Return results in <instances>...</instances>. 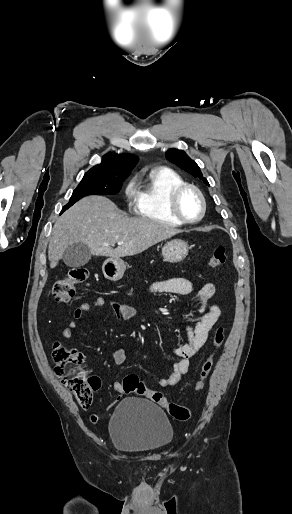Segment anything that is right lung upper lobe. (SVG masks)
<instances>
[{
	"instance_id": "obj_1",
	"label": "right lung upper lobe",
	"mask_w": 292,
	"mask_h": 514,
	"mask_svg": "<svg viewBox=\"0 0 292 514\" xmlns=\"http://www.w3.org/2000/svg\"><path fill=\"white\" fill-rule=\"evenodd\" d=\"M137 162L135 155L109 153L103 156L101 164L91 168L84 176L126 179Z\"/></svg>"
}]
</instances>
